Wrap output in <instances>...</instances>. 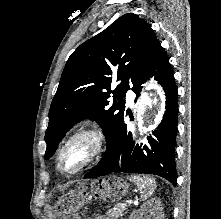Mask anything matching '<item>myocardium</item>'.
Returning a JSON list of instances; mask_svg holds the SVG:
<instances>
[{
	"instance_id": "1",
	"label": "myocardium",
	"mask_w": 221,
	"mask_h": 219,
	"mask_svg": "<svg viewBox=\"0 0 221 219\" xmlns=\"http://www.w3.org/2000/svg\"><path fill=\"white\" fill-rule=\"evenodd\" d=\"M80 139L89 140L91 144V150L87 158L83 161V163L77 169H75L72 172H64L60 166L61 157L63 153L65 152V150L70 146V144ZM105 142L106 140H105L104 132L98 127H89V128H85V129L75 132L74 134L69 136L59 148L57 155H56V159H55L56 169L58 170L60 174L65 175V176H73V175L80 173L81 171L85 170L90 165H92L100 157V155L102 154L105 148Z\"/></svg>"
}]
</instances>
